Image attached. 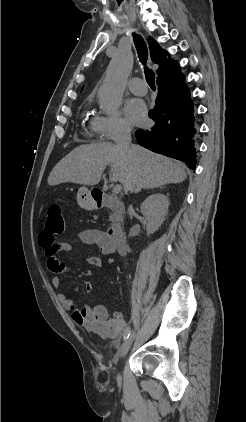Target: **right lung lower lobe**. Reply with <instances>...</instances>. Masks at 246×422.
<instances>
[{"mask_svg":"<svg viewBox=\"0 0 246 422\" xmlns=\"http://www.w3.org/2000/svg\"><path fill=\"white\" fill-rule=\"evenodd\" d=\"M158 96L149 117L155 121L150 130H137V142L156 153L183 161L196 168V121L190 92L183 74L157 82Z\"/></svg>","mask_w":246,"mask_h":422,"instance_id":"1","label":"right lung lower lobe"}]
</instances>
